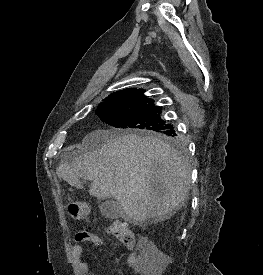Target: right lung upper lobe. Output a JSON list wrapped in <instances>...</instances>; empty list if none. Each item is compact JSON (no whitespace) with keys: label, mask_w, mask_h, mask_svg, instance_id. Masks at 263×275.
Returning a JSON list of instances; mask_svg holds the SVG:
<instances>
[{"label":"right lung upper lobe","mask_w":263,"mask_h":275,"mask_svg":"<svg viewBox=\"0 0 263 275\" xmlns=\"http://www.w3.org/2000/svg\"><path fill=\"white\" fill-rule=\"evenodd\" d=\"M126 94L129 97L132 98H146V96L143 94L144 90L143 89H135V88H129L125 90H121L118 92H115L114 94Z\"/></svg>","instance_id":"1"}]
</instances>
